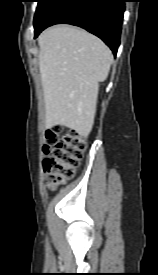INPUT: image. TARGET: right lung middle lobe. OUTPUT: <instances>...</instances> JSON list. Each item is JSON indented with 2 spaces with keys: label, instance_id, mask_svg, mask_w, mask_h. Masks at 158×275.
I'll return each mask as SVG.
<instances>
[{
  "label": "right lung middle lobe",
  "instance_id": "obj_1",
  "mask_svg": "<svg viewBox=\"0 0 158 275\" xmlns=\"http://www.w3.org/2000/svg\"><path fill=\"white\" fill-rule=\"evenodd\" d=\"M56 1L57 0H38V6L34 17V25L42 19L45 13Z\"/></svg>",
  "mask_w": 158,
  "mask_h": 275
}]
</instances>
